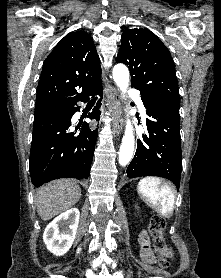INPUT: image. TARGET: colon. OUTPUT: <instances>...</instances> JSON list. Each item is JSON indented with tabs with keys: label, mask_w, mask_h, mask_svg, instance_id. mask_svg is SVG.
Wrapping results in <instances>:
<instances>
[{
	"label": "colon",
	"mask_w": 221,
	"mask_h": 278,
	"mask_svg": "<svg viewBox=\"0 0 221 278\" xmlns=\"http://www.w3.org/2000/svg\"><path fill=\"white\" fill-rule=\"evenodd\" d=\"M166 227V221L161 216H153L149 225V235L152 239L151 252L157 257L160 267L166 269L170 266L169 254L165 248L163 231Z\"/></svg>",
	"instance_id": "obj_1"
}]
</instances>
